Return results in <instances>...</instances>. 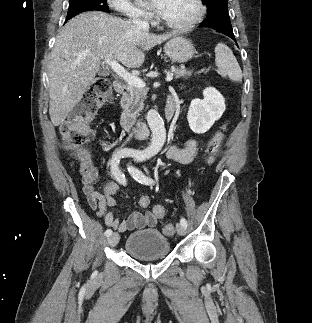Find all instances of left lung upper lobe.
<instances>
[{"label":"left lung upper lobe","mask_w":312,"mask_h":323,"mask_svg":"<svg viewBox=\"0 0 312 323\" xmlns=\"http://www.w3.org/2000/svg\"><path fill=\"white\" fill-rule=\"evenodd\" d=\"M207 6V17L202 22L206 27L218 29L221 27L232 28L228 13L227 0H202Z\"/></svg>","instance_id":"1"}]
</instances>
